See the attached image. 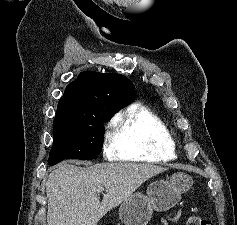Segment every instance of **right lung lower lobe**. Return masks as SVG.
Instances as JSON below:
<instances>
[{"label":"right lung lower lobe","mask_w":237,"mask_h":225,"mask_svg":"<svg viewBox=\"0 0 237 225\" xmlns=\"http://www.w3.org/2000/svg\"><path fill=\"white\" fill-rule=\"evenodd\" d=\"M62 160H64V159L48 160V163H49V165H55V164L61 162Z\"/></svg>","instance_id":"right-lung-lower-lobe-1"}]
</instances>
